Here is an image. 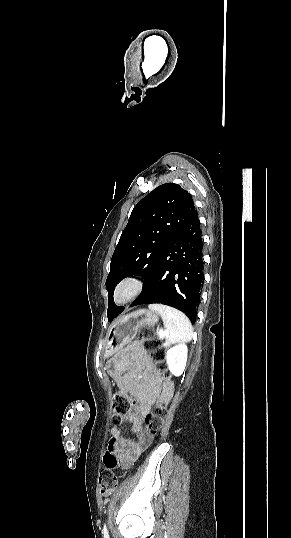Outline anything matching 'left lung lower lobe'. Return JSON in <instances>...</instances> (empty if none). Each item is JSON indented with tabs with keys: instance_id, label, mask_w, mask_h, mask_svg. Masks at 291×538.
I'll list each match as a JSON object with an SVG mask.
<instances>
[{
	"instance_id": "left-lung-lower-lobe-1",
	"label": "left lung lower lobe",
	"mask_w": 291,
	"mask_h": 538,
	"mask_svg": "<svg viewBox=\"0 0 291 538\" xmlns=\"http://www.w3.org/2000/svg\"><path fill=\"white\" fill-rule=\"evenodd\" d=\"M202 248L196 214L163 252L141 294L130 306L153 303L172 306L195 323L204 280Z\"/></svg>"
}]
</instances>
